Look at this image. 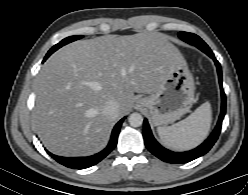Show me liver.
Instances as JSON below:
<instances>
[{"label":"liver","mask_w":248,"mask_h":195,"mask_svg":"<svg viewBox=\"0 0 248 195\" xmlns=\"http://www.w3.org/2000/svg\"><path fill=\"white\" fill-rule=\"evenodd\" d=\"M176 61L185 60L155 32L106 35L62 47L36 79L33 117L42 143L60 156L102 150L116 120L103 113L106 102L119 103L118 117L127 114L134 93H154Z\"/></svg>","instance_id":"6515ba94"}]
</instances>
